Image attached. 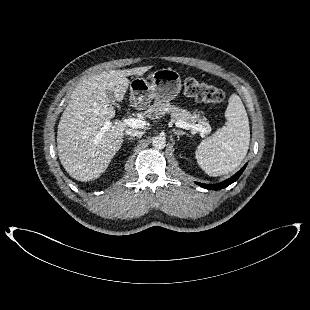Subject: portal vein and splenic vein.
I'll use <instances>...</instances> for the list:
<instances>
[{
    "mask_svg": "<svg viewBox=\"0 0 310 310\" xmlns=\"http://www.w3.org/2000/svg\"><path fill=\"white\" fill-rule=\"evenodd\" d=\"M123 122L132 128H143L146 125L145 120H141L138 118H127V119H124ZM110 126H111V123L106 122L102 130H107L110 128ZM176 126L182 129H186V130L192 129V130L199 132L200 134H205L207 132L206 128L199 124H191V123H187L183 121H177Z\"/></svg>",
    "mask_w": 310,
    "mask_h": 310,
    "instance_id": "portal-vein-and-splenic-vein-1",
    "label": "portal vein and splenic vein"
}]
</instances>
